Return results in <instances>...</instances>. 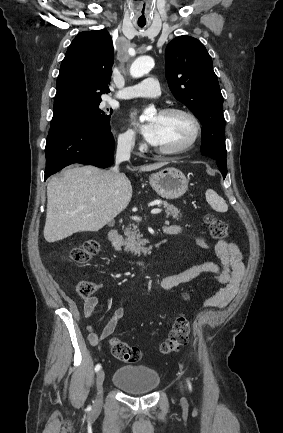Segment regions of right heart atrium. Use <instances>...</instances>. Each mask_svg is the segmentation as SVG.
<instances>
[{
	"label": "right heart atrium",
	"mask_w": 283,
	"mask_h": 433,
	"mask_svg": "<svg viewBox=\"0 0 283 433\" xmlns=\"http://www.w3.org/2000/svg\"><path fill=\"white\" fill-rule=\"evenodd\" d=\"M116 141L120 148L130 150L135 145V136L129 129L121 130L117 134Z\"/></svg>",
	"instance_id": "d8ad5b80"
}]
</instances>
